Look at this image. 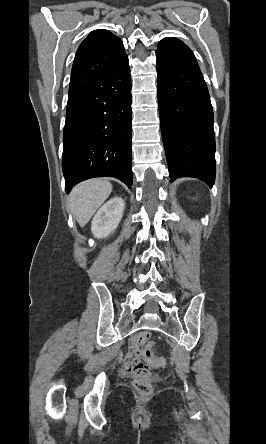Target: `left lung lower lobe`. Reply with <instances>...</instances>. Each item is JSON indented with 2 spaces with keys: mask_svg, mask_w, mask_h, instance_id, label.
<instances>
[{
  "mask_svg": "<svg viewBox=\"0 0 266 444\" xmlns=\"http://www.w3.org/2000/svg\"><path fill=\"white\" fill-rule=\"evenodd\" d=\"M157 58L161 131L171 181L195 177L210 187L215 180L213 110L199 66Z\"/></svg>",
  "mask_w": 266,
  "mask_h": 444,
  "instance_id": "left-lung-lower-lobe-1",
  "label": "left lung lower lobe"
}]
</instances>
